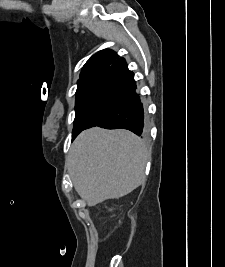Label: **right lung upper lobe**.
Segmentation results:
<instances>
[{"label":"right lung upper lobe","mask_w":225,"mask_h":267,"mask_svg":"<svg viewBox=\"0 0 225 267\" xmlns=\"http://www.w3.org/2000/svg\"><path fill=\"white\" fill-rule=\"evenodd\" d=\"M118 57L112 50L99 51L86 62L78 82L87 79H97Z\"/></svg>","instance_id":"1"}]
</instances>
